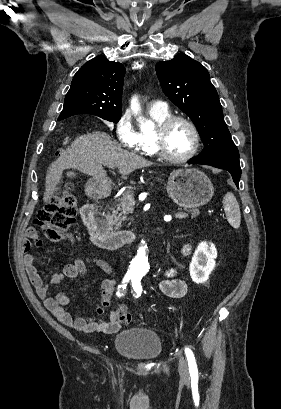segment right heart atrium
Masks as SVG:
<instances>
[{
  "label": "right heart atrium",
  "instance_id": "right-heart-atrium-1",
  "mask_svg": "<svg viewBox=\"0 0 281 409\" xmlns=\"http://www.w3.org/2000/svg\"><path fill=\"white\" fill-rule=\"evenodd\" d=\"M115 130L122 146L127 149L135 147L137 133L132 126L131 119H118L115 124Z\"/></svg>",
  "mask_w": 281,
  "mask_h": 409
}]
</instances>
